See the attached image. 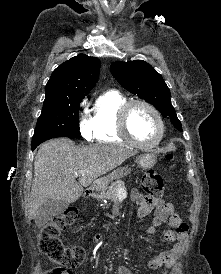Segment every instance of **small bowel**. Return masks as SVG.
<instances>
[{"label": "small bowel", "instance_id": "small-bowel-1", "mask_svg": "<svg viewBox=\"0 0 221 274\" xmlns=\"http://www.w3.org/2000/svg\"><path fill=\"white\" fill-rule=\"evenodd\" d=\"M131 197L139 205L137 210L138 218H144L153 212L152 225L146 230V233L153 234L156 228L165 222H168L170 226V228L164 232V239L167 242L173 243L172 248L160 252L148 263L150 269L158 270L163 268L164 270L161 274H168V270L173 267L183 252L188 227L176 213L171 203H166L161 199H150L137 190L132 191ZM115 274L134 273L124 266H118Z\"/></svg>", "mask_w": 221, "mask_h": 274}]
</instances>
